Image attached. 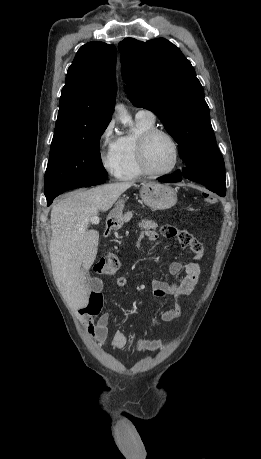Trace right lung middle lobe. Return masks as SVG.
I'll return each mask as SVG.
<instances>
[{
  "label": "right lung middle lobe",
  "mask_w": 261,
  "mask_h": 459,
  "mask_svg": "<svg viewBox=\"0 0 261 459\" xmlns=\"http://www.w3.org/2000/svg\"><path fill=\"white\" fill-rule=\"evenodd\" d=\"M109 122L52 140L45 174V196H55L76 185L108 178L99 152L100 138Z\"/></svg>",
  "instance_id": "1"
}]
</instances>
